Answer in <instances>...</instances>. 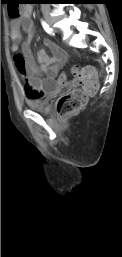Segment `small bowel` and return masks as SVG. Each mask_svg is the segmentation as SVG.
<instances>
[{
  "instance_id": "1",
  "label": "small bowel",
  "mask_w": 122,
  "mask_h": 257,
  "mask_svg": "<svg viewBox=\"0 0 122 257\" xmlns=\"http://www.w3.org/2000/svg\"><path fill=\"white\" fill-rule=\"evenodd\" d=\"M32 7L27 5L22 13L10 22V37L12 39V60L16 64L18 73L25 81L24 91L27 100L41 99L47 94L56 91L55 79L67 59L66 53L53 41L44 40L49 53L40 50L37 53V61L30 53V41L35 37V27L31 20ZM23 32L27 39H23ZM21 48V52H17Z\"/></svg>"
}]
</instances>
